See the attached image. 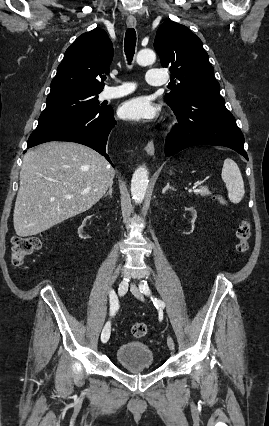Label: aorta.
<instances>
[{
    "mask_svg": "<svg viewBox=\"0 0 269 426\" xmlns=\"http://www.w3.org/2000/svg\"><path fill=\"white\" fill-rule=\"evenodd\" d=\"M156 60V54L151 49H143L138 52L136 62L139 65H150ZM148 170L145 166L137 168L131 180V194L136 203H141L144 200L148 187Z\"/></svg>",
    "mask_w": 269,
    "mask_h": 426,
    "instance_id": "aorta-1",
    "label": "aorta"
}]
</instances>
